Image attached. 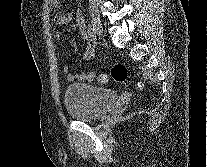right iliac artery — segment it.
Returning <instances> with one entry per match:
<instances>
[{"label":"right iliac artery","instance_id":"82829eb1","mask_svg":"<svg viewBox=\"0 0 207 167\" xmlns=\"http://www.w3.org/2000/svg\"><path fill=\"white\" fill-rule=\"evenodd\" d=\"M87 31H88L89 37L91 39H93L94 36H95V30H94V28H93V26L91 24L88 25Z\"/></svg>","mask_w":207,"mask_h":167}]
</instances>
